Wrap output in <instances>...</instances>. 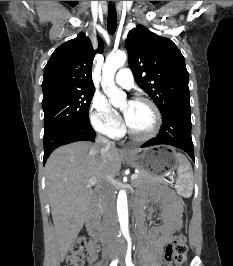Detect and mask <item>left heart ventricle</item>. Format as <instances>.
<instances>
[{"instance_id": "b2bd125f", "label": "left heart ventricle", "mask_w": 233, "mask_h": 266, "mask_svg": "<svg viewBox=\"0 0 233 266\" xmlns=\"http://www.w3.org/2000/svg\"><path fill=\"white\" fill-rule=\"evenodd\" d=\"M124 113H129V127L137 134L148 133L154 125V113L148 104L125 101L121 105Z\"/></svg>"}]
</instances>
